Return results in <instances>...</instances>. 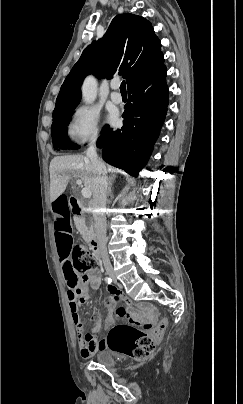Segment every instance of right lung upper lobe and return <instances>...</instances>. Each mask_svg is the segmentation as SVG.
I'll return each mask as SVG.
<instances>
[{
	"label": "right lung upper lobe",
	"instance_id": "cb5924a9",
	"mask_svg": "<svg viewBox=\"0 0 243 404\" xmlns=\"http://www.w3.org/2000/svg\"><path fill=\"white\" fill-rule=\"evenodd\" d=\"M163 63L161 42L151 23L134 14L117 15L105 36L82 52L61 86L53 114L78 105L80 87L88 74L112 78L119 73L129 87L157 71Z\"/></svg>",
	"mask_w": 243,
	"mask_h": 404
}]
</instances>
